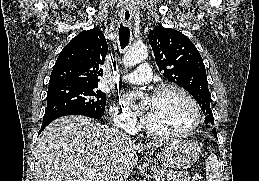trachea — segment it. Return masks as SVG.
Segmentation results:
<instances>
[{
  "label": "trachea",
  "instance_id": "1",
  "mask_svg": "<svg viewBox=\"0 0 259 181\" xmlns=\"http://www.w3.org/2000/svg\"><path fill=\"white\" fill-rule=\"evenodd\" d=\"M129 39H130L129 27L121 25L119 28V41L122 49H124L128 45Z\"/></svg>",
  "mask_w": 259,
  "mask_h": 181
}]
</instances>
